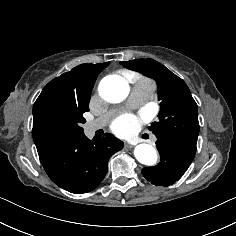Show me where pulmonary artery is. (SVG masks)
Wrapping results in <instances>:
<instances>
[{"mask_svg":"<svg viewBox=\"0 0 236 236\" xmlns=\"http://www.w3.org/2000/svg\"><path fill=\"white\" fill-rule=\"evenodd\" d=\"M154 87L149 85L135 84L131 90V94L127 100L126 108L134 107L136 104H144L153 95ZM113 112H109L97 119L89 121L85 124L87 135H94L97 130L105 127Z\"/></svg>","mask_w":236,"mask_h":236,"instance_id":"obj_1","label":"pulmonary artery"}]
</instances>
